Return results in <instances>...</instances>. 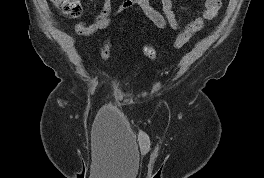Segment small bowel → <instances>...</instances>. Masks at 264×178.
<instances>
[{"label": "small bowel", "mask_w": 264, "mask_h": 178, "mask_svg": "<svg viewBox=\"0 0 264 178\" xmlns=\"http://www.w3.org/2000/svg\"><path fill=\"white\" fill-rule=\"evenodd\" d=\"M161 11L155 9L150 0H122V2L112 9L111 0H103L100 12L91 25L80 21L75 25V31L81 36H90L97 31L107 28L111 23V17L117 16L127 9L136 6L143 14L161 30H177L178 20L173 9L172 0H160ZM221 8V0H205L204 9L200 15L192 20L185 28L186 31L195 34L206 21L212 20Z\"/></svg>", "instance_id": "1"}]
</instances>
